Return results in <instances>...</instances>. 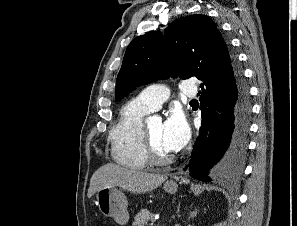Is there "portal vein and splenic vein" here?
I'll list each match as a JSON object with an SVG mask.
<instances>
[{"instance_id": "18ae733b", "label": "portal vein and splenic vein", "mask_w": 297, "mask_h": 226, "mask_svg": "<svg viewBox=\"0 0 297 226\" xmlns=\"http://www.w3.org/2000/svg\"><path fill=\"white\" fill-rule=\"evenodd\" d=\"M159 219V215H155V217L153 218V222L157 221Z\"/></svg>"}]
</instances>
